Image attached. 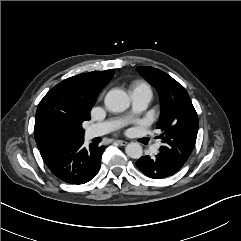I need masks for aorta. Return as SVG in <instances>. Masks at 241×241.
<instances>
[{
	"instance_id": "aorta-1",
	"label": "aorta",
	"mask_w": 241,
	"mask_h": 241,
	"mask_svg": "<svg viewBox=\"0 0 241 241\" xmlns=\"http://www.w3.org/2000/svg\"><path fill=\"white\" fill-rule=\"evenodd\" d=\"M105 106L111 112H123L130 106L127 93L120 89H112L105 96ZM126 154L133 159H139L143 154L139 143L131 142L125 148Z\"/></svg>"
}]
</instances>
